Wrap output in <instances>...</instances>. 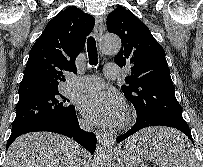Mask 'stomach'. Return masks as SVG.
<instances>
[{
  "label": "stomach",
  "instance_id": "0dacf381",
  "mask_svg": "<svg viewBox=\"0 0 203 167\" xmlns=\"http://www.w3.org/2000/svg\"><path fill=\"white\" fill-rule=\"evenodd\" d=\"M149 130L154 131L155 135L163 131L162 129H147L141 133V136L144 137L151 134ZM146 140H152V137H148L142 141ZM135 144L136 143H127L125 150L116 155V161L119 167H140L142 157L137 153L134 147Z\"/></svg>",
  "mask_w": 203,
  "mask_h": 167
}]
</instances>
